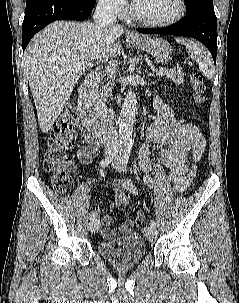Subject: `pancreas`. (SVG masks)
Segmentation results:
<instances>
[{
    "label": "pancreas",
    "instance_id": "obj_1",
    "mask_svg": "<svg viewBox=\"0 0 239 303\" xmlns=\"http://www.w3.org/2000/svg\"><path fill=\"white\" fill-rule=\"evenodd\" d=\"M166 72H159L158 75L160 77H164L165 79H169L172 82L176 83V84H182L184 83V73L182 72L181 68H177V69H166ZM100 92H102V89H100ZM103 100L101 98L99 103H102Z\"/></svg>",
    "mask_w": 239,
    "mask_h": 303
}]
</instances>
